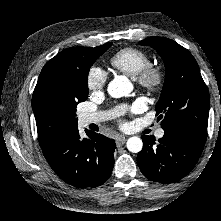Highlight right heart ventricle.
<instances>
[{
  "label": "right heart ventricle",
  "instance_id": "e07e8e85",
  "mask_svg": "<svg viewBox=\"0 0 221 221\" xmlns=\"http://www.w3.org/2000/svg\"><path fill=\"white\" fill-rule=\"evenodd\" d=\"M109 63L115 70L137 79L140 71L150 64V57L138 48L126 47L113 53Z\"/></svg>",
  "mask_w": 221,
  "mask_h": 221
}]
</instances>
